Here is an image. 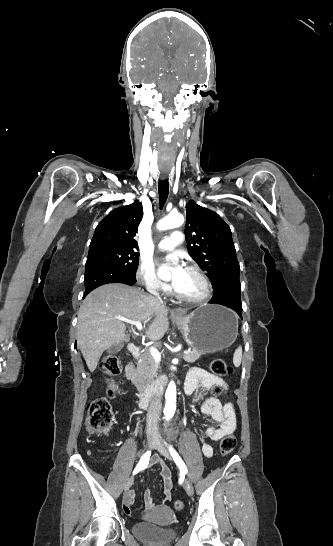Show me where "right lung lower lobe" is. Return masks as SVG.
I'll use <instances>...</instances> for the list:
<instances>
[{
  "label": "right lung lower lobe",
  "instance_id": "1",
  "mask_svg": "<svg viewBox=\"0 0 333 546\" xmlns=\"http://www.w3.org/2000/svg\"><path fill=\"white\" fill-rule=\"evenodd\" d=\"M136 282L135 274L124 269L102 263H94L85 269V293L86 297L93 289L108 283H124L133 285Z\"/></svg>",
  "mask_w": 333,
  "mask_h": 546
}]
</instances>
